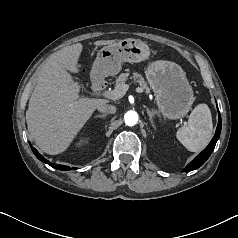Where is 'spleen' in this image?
<instances>
[{"label":"spleen","mask_w":238,"mask_h":238,"mask_svg":"<svg viewBox=\"0 0 238 238\" xmlns=\"http://www.w3.org/2000/svg\"><path fill=\"white\" fill-rule=\"evenodd\" d=\"M212 116L207 104L197 105L188 122L178 129L176 137L191 152L203 150L212 138Z\"/></svg>","instance_id":"1"}]
</instances>
